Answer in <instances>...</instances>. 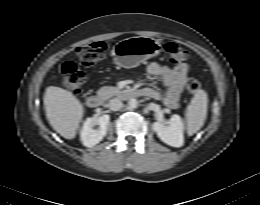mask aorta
Returning a JSON list of instances; mask_svg holds the SVG:
<instances>
[{
    "label": "aorta",
    "instance_id": "obj_1",
    "mask_svg": "<svg viewBox=\"0 0 260 205\" xmlns=\"http://www.w3.org/2000/svg\"><path fill=\"white\" fill-rule=\"evenodd\" d=\"M128 104L130 108L135 109L138 106V101L135 98H132L129 100Z\"/></svg>",
    "mask_w": 260,
    "mask_h": 205
}]
</instances>
